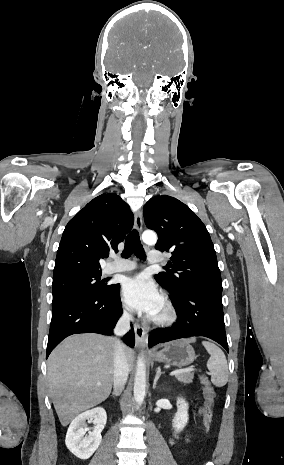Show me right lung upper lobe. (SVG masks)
<instances>
[{
	"label": "right lung upper lobe",
	"mask_w": 284,
	"mask_h": 465,
	"mask_svg": "<svg viewBox=\"0 0 284 465\" xmlns=\"http://www.w3.org/2000/svg\"><path fill=\"white\" fill-rule=\"evenodd\" d=\"M134 216L120 196L105 193L90 201L66 225L55 260L53 280L102 273L99 259L117 252Z\"/></svg>",
	"instance_id": "1"
}]
</instances>
